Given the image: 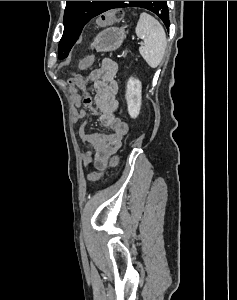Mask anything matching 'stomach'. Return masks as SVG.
I'll list each match as a JSON object with an SVG mask.
<instances>
[{"label":"stomach","mask_w":237,"mask_h":300,"mask_svg":"<svg viewBox=\"0 0 237 300\" xmlns=\"http://www.w3.org/2000/svg\"><path fill=\"white\" fill-rule=\"evenodd\" d=\"M127 31L125 29H118V27H109L105 31H101L96 35L93 43H91V49H96L98 53L100 51H116L121 47Z\"/></svg>","instance_id":"obj_1"}]
</instances>
